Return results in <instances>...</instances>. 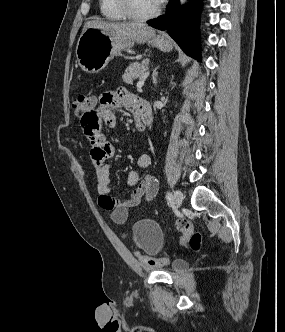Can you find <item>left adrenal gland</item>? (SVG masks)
<instances>
[{"label":"left adrenal gland","mask_w":285,"mask_h":332,"mask_svg":"<svg viewBox=\"0 0 285 332\" xmlns=\"http://www.w3.org/2000/svg\"><path fill=\"white\" fill-rule=\"evenodd\" d=\"M157 68L153 71V74H152L153 82L155 85L157 84V75H158Z\"/></svg>","instance_id":"a2214340"}]
</instances>
